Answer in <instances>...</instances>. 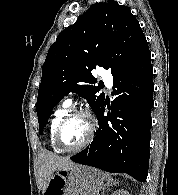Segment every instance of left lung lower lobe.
<instances>
[{
    "mask_svg": "<svg viewBox=\"0 0 178 195\" xmlns=\"http://www.w3.org/2000/svg\"><path fill=\"white\" fill-rule=\"evenodd\" d=\"M150 51L114 77L107 116L106 101L97 113L99 127L90 146L71 157L74 162L111 173H127L145 182L149 167L151 109L154 84Z\"/></svg>",
    "mask_w": 178,
    "mask_h": 195,
    "instance_id": "0a47b994",
    "label": "left lung lower lobe"
}]
</instances>
